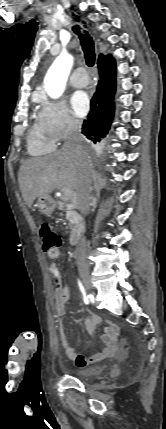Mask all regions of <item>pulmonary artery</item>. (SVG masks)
Returning a JSON list of instances; mask_svg holds the SVG:
<instances>
[{
  "label": "pulmonary artery",
  "instance_id": "obj_1",
  "mask_svg": "<svg viewBox=\"0 0 166 429\" xmlns=\"http://www.w3.org/2000/svg\"><path fill=\"white\" fill-rule=\"evenodd\" d=\"M71 84L76 88H83L88 85V76L84 68H78L74 71L71 79Z\"/></svg>",
  "mask_w": 166,
  "mask_h": 429
}]
</instances>
